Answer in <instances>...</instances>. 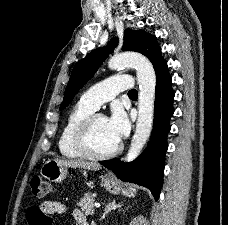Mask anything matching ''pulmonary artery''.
<instances>
[{
  "mask_svg": "<svg viewBox=\"0 0 228 225\" xmlns=\"http://www.w3.org/2000/svg\"><path fill=\"white\" fill-rule=\"evenodd\" d=\"M130 80V75L113 76L107 81H100V85H93V89L84 92L80 101L94 110H98L100 106L120 94V90H133L134 86L130 81H113V80Z\"/></svg>",
  "mask_w": 228,
  "mask_h": 225,
  "instance_id": "e3ab8cb5",
  "label": "pulmonary artery"
}]
</instances>
